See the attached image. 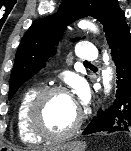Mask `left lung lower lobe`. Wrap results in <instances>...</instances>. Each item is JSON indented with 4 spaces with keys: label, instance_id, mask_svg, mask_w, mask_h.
<instances>
[{
    "label": "left lung lower lobe",
    "instance_id": "1",
    "mask_svg": "<svg viewBox=\"0 0 131 151\" xmlns=\"http://www.w3.org/2000/svg\"><path fill=\"white\" fill-rule=\"evenodd\" d=\"M117 72L116 99L105 112L99 110L83 134L95 132L131 133V38L130 34L116 40L111 46Z\"/></svg>",
    "mask_w": 131,
    "mask_h": 151
}]
</instances>
